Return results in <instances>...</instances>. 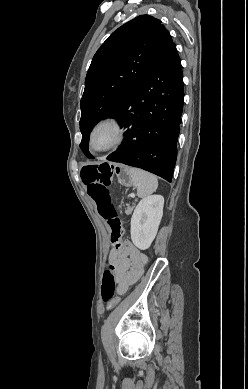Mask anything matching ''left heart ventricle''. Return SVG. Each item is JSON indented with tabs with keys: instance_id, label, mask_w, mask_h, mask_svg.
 Here are the masks:
<instances>
[{
	"instance_id": "b2bd125f",
	"label": "left heart ventricle",
	"mask_w": 248,
	"mask_h": 389,
	"mask_svg": "<svg viewBox=\"0 0 248 389\" xmlns=\"http://www.w3.org/2000/svg\"><path fill=\"white\" fill-rule=\"evenodd\" d=\"M107 140H108V134L104 132L99 136L98 143L104 144Z\"/></svg>"
}]
</instances>
